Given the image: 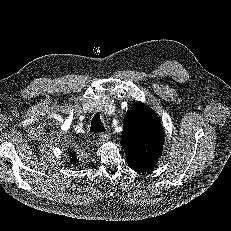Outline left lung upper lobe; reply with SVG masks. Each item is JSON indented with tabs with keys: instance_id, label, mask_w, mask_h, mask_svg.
Masks as SVG:
<instances>
[{
	"instance_id": "obj_1",
	"label": "left lung upper lobe",
	"mask_w": 231,
	"mask_h": 231,
	"mask_svg": "<svg viewBox=\"0 0 231 231\" xmlns=\"http://www.w3.org/2000/svg\"><path fill=\"white\" fill-rule=\"evenodd\" d=\"M121 144L129 166L137 172L152 169L163 150L164 132L154 111L137 103L124 119Z\"/></svg>"
}]
</instances>
